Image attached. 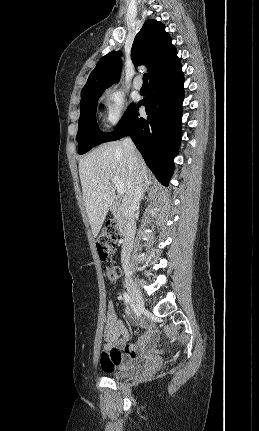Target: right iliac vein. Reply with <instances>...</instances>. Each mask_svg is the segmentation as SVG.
Wrapping results in <instances>:
<instances>
[{
  "mask_svg": "<svg viewBox=\"0 0 259 431\" xmlns=\"http://www.w3.org/2000/svg\"><path fill=\"white\" fill-rule=\"evenodd\" d=\"M125 284L129 292L132 304L135 308L142 311L144 309V301L141 292L138 290L135 283L130 277L126 278Z\"/></svg>",
  "mask_w": 259,
  "mask_h": 431,
  "instance_id": "obj_1",
  "label": "right iliac vein"
}]
</instances>
